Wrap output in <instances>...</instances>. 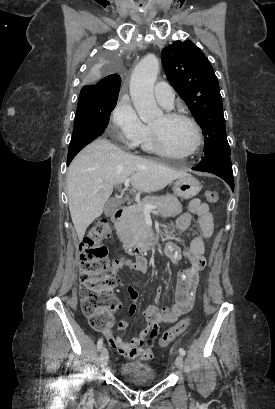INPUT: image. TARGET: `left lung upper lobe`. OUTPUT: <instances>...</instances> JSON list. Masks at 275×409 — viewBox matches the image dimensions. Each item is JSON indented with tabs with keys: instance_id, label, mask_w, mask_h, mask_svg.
Segmentation results:
<instances>
[{
	"instance_id": "left-lung-upper-lobe-1",
	"label": "left lung upper lobe",
	"mask_w": 275,
	"mask_h": 409,
	"mask_svg": "<svg viewBox=\"0 0 275 409\" xmlns=\"http://www.w3.org/2000/svg\"><path fill=\"white\" fill-rule=\"evenodd\" d=\"M161 59L170 84L204 132L205 158L230 152L219 83L209 60L191 41L173 42Z\"/></svg>"
}]
</instances>
